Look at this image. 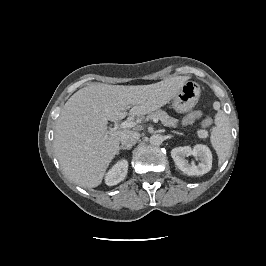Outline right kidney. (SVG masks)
Returning <instances> with one entry per match:
<instances>
[{"mask_svg":"<svg viewBox=\"0 0 266 266\" xmlns=\"http://www.w3.org/2000/svg\"><path fill=\"white\" fill-rule=\"evenodd\" d=\"M128 161L122 159L118 161L107 173L105 183L108 186H113L120 183L127 175Z\"/></svg>","mask_w":266,"mask_h":266,"instance_id":"obj_1","label":"right kidney"}]
</instances>
